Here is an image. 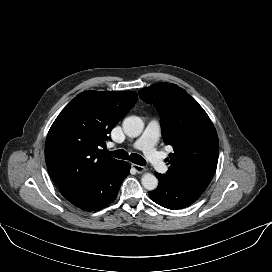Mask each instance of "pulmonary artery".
<instances>
[{
	"label": "pulmonary artery",
	"instance_id": "pulmonary-artery-1",
	"mask_svg": "<svg viewBox=\"0 0 272 272\" xmlns=\"http://www.w3.org/2000/svg\"><path fill=\"white\" fill-rule=\"evenodd\" d=\"M160 135V124L157 120H151L142 136L133 144L135 149L142 150L150 164L159 172H165L167 166L163 156L155 148Z\"/></svg>",
	"mask_w": 272,
	"mask_h": 272
}]
</instances>
